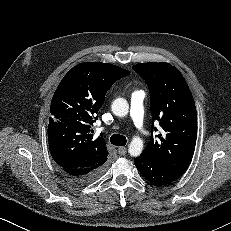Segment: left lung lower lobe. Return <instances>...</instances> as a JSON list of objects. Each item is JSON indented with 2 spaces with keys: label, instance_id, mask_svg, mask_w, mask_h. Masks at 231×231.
Instances as JSON below:
<instances>
[{
  "label": "left lung lower lobe",
  "instance_id": "left-lung-lower-lobe-1",
  "mask_svg": "<svg viewBox=\"0 0 231 231\" xmlns=\"http://www.w3.org/2000/svg\"><path fill=\"white\" fill-rule=\"evenodd\" d=\"M134 164L138 171L155 186L167 185L177 180L185 171L161 165L144 154L135 158Z\"/></svg>",
  "mask_w": 231,
  "mask_h": 231
}]
</instances>
